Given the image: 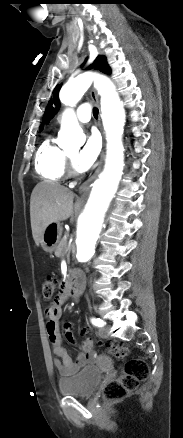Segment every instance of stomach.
<instances>
[{
  "label": "stomach",
  "instance_id": "obj_1",
  "mask_svg": "<svg viewBox=\"0 0 183 438\" xmlns=\"http://www.w3.org/2000/svg\"><path fill=\"white\" fill-rule=\"evenodd\" d=\"M62 234V227L59 222L50 224L44 231L41 238V247L47 253H52L59 241Z\"/></svg>",
  "mask_w": 183,
  "mask_h": 438
}]
</instances>
